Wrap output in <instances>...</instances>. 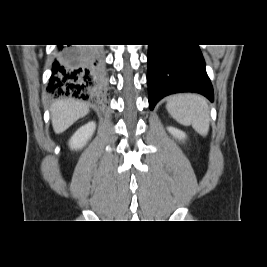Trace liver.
Wrapping results in <instances>:
<instances>
[{"label":"liver","mask_w":267,"mask_h":267,"mask_svg":"<svg viewBox=\"0 0 267 267\" xmlns=\"http://www.w3.org/2000/svg\"><path fill=\"white\" fill-rule=\"evenodd\" d=\"M52 126L56 134L63 133L78 119L89 113V107L81 101L65 98L55 101L50 107Z\"/></svg>","instance_id":"obj_1"}]
</instances>
